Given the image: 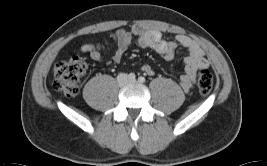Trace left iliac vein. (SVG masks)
I'll return each mask as SVG.
<instances>
[{"label":"left iliac vein","instance_id":"4c4485c4","mask_svg":"<svg viewBox=\"0 0 267 166\" xmlns=\"http://www.w3.org/2000/svg\"><path fill=\"white\" fill-rule=\"evenodd\" d=\"M130 84H135L136 83V80L134 79V80H129L128 81Z\"/></svg>","mask_w":267,"mask_h":166}]
</instances>
